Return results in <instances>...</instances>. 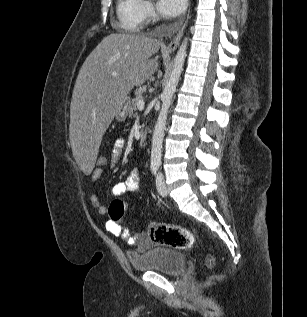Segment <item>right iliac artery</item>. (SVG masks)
Segmentation results:
<instances>
[{"label": "right iliac artery", "instance_id": "1", "mask_svg": "<svg viewBox=\"0 0 307 317\" xmlns=\"http://www.w3.org/2000/svg\"><path fill=\"white\" fill-rule=\"evenodd\" d=\"M158 168L157 167H152V174L155 176L157 173Z\"/></svg>", "mask_w": 307, "mask_h": 317}]
</instances>
